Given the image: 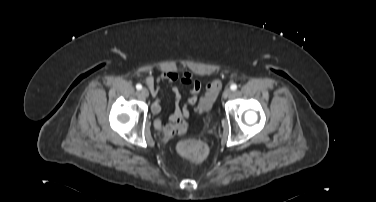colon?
Returning <instances> with one entry per match:
<instances>
[{"label":"colon","mask_w":376,"mask_h":202,"mask_svg":"<svg viewBox=\"0 0 376 202\" xmlns=\"http://www.w3.org/2000/svg\"><path fill=\"white\" fill-rule=\"evenodd\" d=\"M222 89L220 80H214L207 86V92L204 100L199 104L197 110L203 112L207 110ZM184 130V124L177 123L167 127L166 131L170 134L181 133ZM177 152L184 160L190 163H200L208 156V146L199 139H184L177 145Z\"/></svg>","instance_id":"obj_1"}]
</instances>
